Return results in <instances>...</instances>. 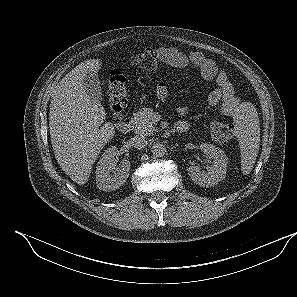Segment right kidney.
<instances>
[{"label":"right kidney","mask_w":297,"mask_h":297,"mask_svg":"<svg viewBox=\"0 0 297 297\" xmlns=\"http://www.w3.org/2000/svg\"><path fill=\"white\" fill-rule=\"evenodd\" d=\"M118 149L112 146L102 154L96 169V184L100 190L113 191L126 182L130 171V162L123 159L116 167L115 157Z\"/></svg>","instance_id":"obj_1"}]
</instances>
